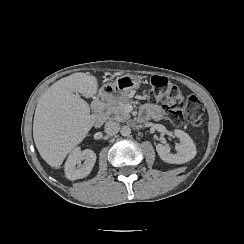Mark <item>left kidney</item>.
Wrapping results in <instances>:
<instances>
[{
  "label": "left kidney",
  "instance_id": "obj_1",
  "mask_svg": "<svg viewBox=\"0 0 244 244\" xmlns=\"http://www.w3.org/2000/svg\"><path fill=\"white\" fill-rule=\"evenodd\" d=\"M173 135L179 139V143L175 145L176 153H170L169 146L157 143L155 147L160 159L169 164H184L192 160L196 155V148L190 136L181 130H175Z\"/></svg>",
  "mask_w": 244,
  "mask_h": 244
}]
</instances>
